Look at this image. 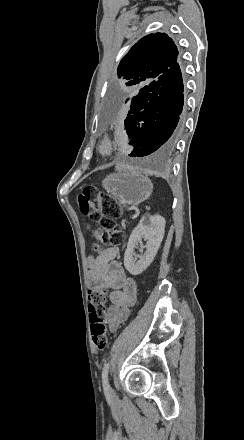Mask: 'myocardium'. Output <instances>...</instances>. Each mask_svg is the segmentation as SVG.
I'll use <instances>...</instances> for the list:
<instances>
[{
  "instance_id": "f54148a6",
  "label": "myocardium",
  "mask_w": 244,
  "mask_h": 440,
  "mask_svg": "<svg viewBox=\"0 0 244 440\" xmlns=\"http://www.w3.org/2000/svg\"><path fill=\"white\" fill-rule=\"evenodd\" d=\"M108 151H109V141L106 136H103V137L99 138V141H98V152L102 156H105V155H107Z\"/></svg>"
}]
</instances>
